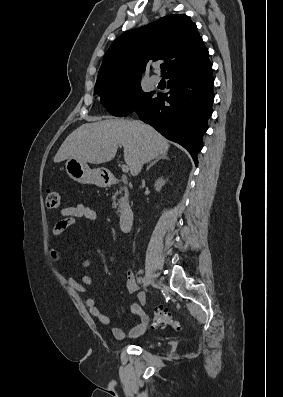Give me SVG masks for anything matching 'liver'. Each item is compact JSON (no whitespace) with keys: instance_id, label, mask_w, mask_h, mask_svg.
Here are the masks:
<instances>
[{"instance_id":"obj_1","label":"liver","mask_w":283,"mask_h":397,"mask_svg":"<svg viewBox=\"0 0 283 397\" xmlns=\"http://www.w3.org/2000/svg\"><path fill=\"white\" fill-rule=\"evenodd\" d=\"M132 176L144 163L167 153L168 141L151 126L139 121L109 119L86 123L74 130L57 151L54 162L76 158L92 164L111 161L118 147Z\"/></svg>"}]
</instances>
